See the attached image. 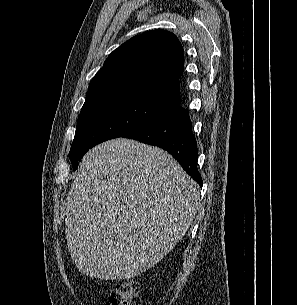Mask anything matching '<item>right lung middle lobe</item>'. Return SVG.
Returning a JSON list of instances; mask_svg holds the SVG:
<instances>
[{"instance_id": "dd1d6c3e", "label": "right lung middle lobe", "mask_w": 297, "mask_h": 305, "mask_svg": "<svg viewBox=\"0 0 297 305\" xmlns=\"http://www.w3.org/2000/svg\"><path fill=\"white\" fill-rule=\"evenodd\" d=\"M174 105L144 96H121L82 107L69 152L73 170L93 146L135 131Z\"/></svg>"}]
</instances>
